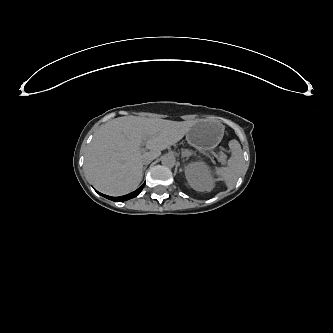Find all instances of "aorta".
<instances>
[{
	"label": "aorta",
	"mask_w": 333,
	"mask_h": 333,
	"mask_svg": "<svg viewBox=\"0 0 333 333\" xmlns=\"http://www.w3.org/2000/svg\"><path fill=\"white\" fill-rule=\"evenodd\" d=\"M175 157L172 154H166L162 157L161 163L164 167L172 168L175 165Z\"/></svg>",
	"instance_id": "obj_1"
}]
</instances>
